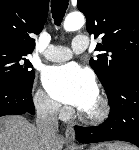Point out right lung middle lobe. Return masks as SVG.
Wrapping results in <instances>:
<instances>
[{
  "label": "right lung middle lobe",
  "instance_id": "1",
  "mask_svg": "<svg viewBox=\"0 0 139 150\" xmlns=\"http://www.w3.org/2000/svg\"><path fill=\"white\" fill-rule=\"evenodd\" d=\"M28 54L30 53L0 48V82L24 88L32 87L35 73L26 58Z\"/></svg>",
  "mask_w": 139,
  "mask_h": 150
}]
</instances>
